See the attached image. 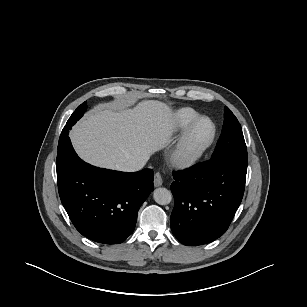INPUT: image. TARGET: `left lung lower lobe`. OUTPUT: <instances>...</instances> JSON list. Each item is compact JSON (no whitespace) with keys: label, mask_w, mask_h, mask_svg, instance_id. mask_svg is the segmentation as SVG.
<instances>
[{"label":"left lung lower lobe","mask_w":307,"mask_h":307,"mask_svg":"<svg viewBox=\"0 0 307 307\" xmlns=\"http://www.w3.org/2000/svg\"><path fill=\"white\" fill-rule=\"evenodd\" d=\"M247 166L229 159H210L174 172L173 234L184 245L214 241L228 229L243 197Z\"/></svg>","instance_id":"1"}]
</instances>
